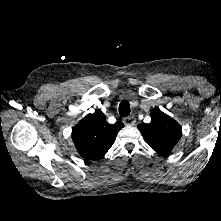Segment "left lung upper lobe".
<instances>
[{
	"instance_id": "1",
	"label": "left lung upper lobe",
	"mask_w": 221,
	"mask_h": 221,
	"mask_svg": "<svg viewBox=\"0 0 221 221\" xmlns=\"http://www.w3.org/2000/svg\"><path fill=\"white\" fill-rule=\"evenodd\" d=\"M151 122L138 125L146 142L159 154H169L181 137V126L170 116L156 109L151 111Z\"/></svg>"
}]
</instances>
